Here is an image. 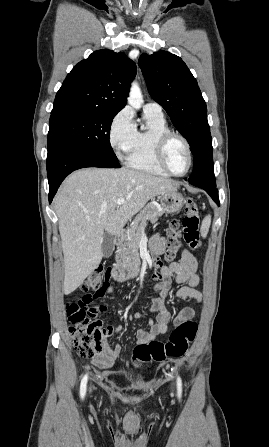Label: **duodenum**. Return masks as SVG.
I'll return each mask as SVG.
<instances>
[{
  "instance_id": "410a0bca",
  "label": "duodenum",
  "mask_w": 269,
  "mask_h": 447,
  "mask_svg": "<svg viewBox=\"0 0 269 447\" xmlns=\"http://www.w3.org/2000/svg\"><path fill=\"white\" fill-rule=\"evenodd\" d=\"M125 235V230H119L116 235V239L120 240ZM139 272V263L137 261H133L127 264L116 266L112 270V276L117 281H124L130 278H134L137 276Z\"/></svg>"
}]
</instances>
